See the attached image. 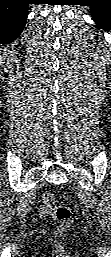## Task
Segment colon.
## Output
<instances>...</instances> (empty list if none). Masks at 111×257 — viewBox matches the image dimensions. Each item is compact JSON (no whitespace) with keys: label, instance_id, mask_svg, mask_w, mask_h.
Wrapping results in <instances>:
<instances>
[{"label":"colon","instance_id":"5ec220e1","mask_svg":"<svg viewBox=\"0 0 111 257\" xmlns=\"http://www.w3.org/2000/svg\"><path fill=\"white\" fill-rule=\"evenodd\" d=\"M43 204L59 220L60 228L57 231L58 233H62L70 227L73 221L72 211L65 206L59 205L52 193L47 192L43 195Z\"/></svg>","mask_w":111,"mask_h":257}]
</instances>
